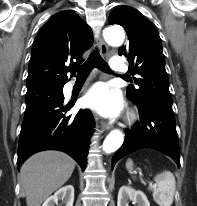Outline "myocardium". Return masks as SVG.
Segmentation results:
<instances>
[{
    "label": "myocardium",
    "mask_w": 197,
    "mask_h": 206,
    "mask_svg": "<svg viewBox=\"0 0 197 206\" xmlns=\"http://www.w3.org/2000/svg\"><path fill=\"white\" fill-rule=\"evenodd\" d=\"M135 117L133 114L130 115V119L133 120Z\"/></svg>",
    "instance_id": "myocardium-1"
}]
</instances>
